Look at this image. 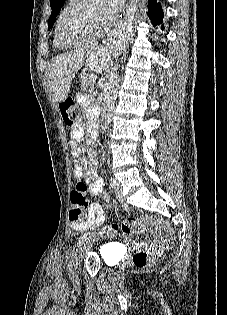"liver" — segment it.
Listing matches in <instances>:
<instances>
[{"mask_svg":"<svg viewBox=\"0 0 227 315\" xmlns=\"http://www.w3.org/2000/svg\"><path fill=\"white\" fill-rule=\"evenodd\" d=\"M91 54L95 56L98 69H104L107 58V52L104 49L96 48L95 51H90L87 48H80L51 60L47 78L55 101L62 102L66 98L73 78L83 66L85 58Z\"/></svg>","mask_w":227,"mask_h":315,"instance_id":"1","label":"liver"}]
</instances>
